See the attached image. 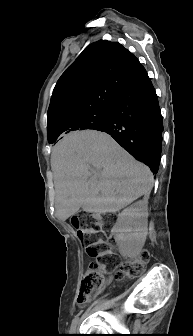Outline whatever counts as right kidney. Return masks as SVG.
<instances>
[{
	"mask_svg": "<svg viewBox=\"0 0 193 336\" xmlns=\"http://www.w3.org/2000/svg\"><path fill=\"white\" fill-rule=\"evenodd\" d=\"M147 201L140 200L124 209L114 227L115 240L124 255L134 256L142 250L148 226Z\"/></svg>",
	"mask_w": 193,
	"mask_h": 336,
	"instance_id": "ca27d5eb",
	"label": "right kidney"
}]
</instances>
